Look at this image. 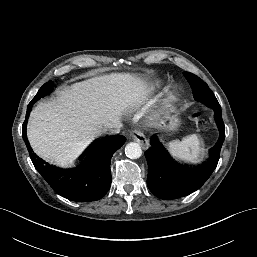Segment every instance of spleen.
<instances>
[{
    "mask_svg": "<svg viewBox=\"0 0 257 257\" xmlns=\"http://www.w3.org/2000/svg\"><path fill=\"white\" fill-rule=\"evenodd\" d=\"M170 154L186 163H198L204 153L202 140L199 135L191 134L180 140L167 143Z\"/></svg>",
    "mask_w": 257,
    "mask_h": 257,
    "instance_id": "3e777b00",
    "label": "spleen"
}]
</instances>
